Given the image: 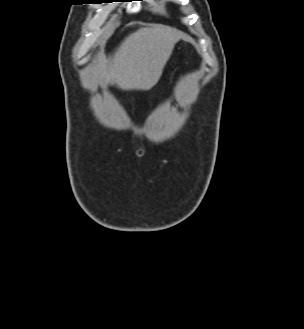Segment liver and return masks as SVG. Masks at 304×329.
I'll return each mask as SVG.
<instances>
[{
  "instance_id": "obj_1",
  "label": "liver",
  "mask_w": 304,
  "mask_h": 329,
  "mask_svg": "<svg viewBox=\"0 0 304 329\" xmlns=\"http://www.w3.org/2000/svg\"><path fill=\"white\" fill-rule=\"evenodd\" d=\"M181 33L165 25L140 28L120 44L113 56L101 61L98 78L123 90L151 89L162 75Z\"/></svg>"
}]
</instances>
